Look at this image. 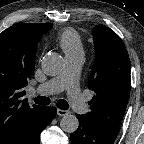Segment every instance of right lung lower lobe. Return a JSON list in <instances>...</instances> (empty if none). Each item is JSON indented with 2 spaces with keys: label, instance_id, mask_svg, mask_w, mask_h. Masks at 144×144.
<instances>
[{
  "label": "right lung lower lobe",
  "instance_id": "right-lung-lower-lobe-1",
  "mask_svg": "<svg viewBox=\"0 0 144 144\" xmlns=\"http://www.w3.org/2000/svg\"><path fill=\"white\" fill-rule=\"evenodd\" d=\"M55 107H41L30 119L21 135L11 144H39L41 131L56 116Z\"/></svg>",
  "mask_w": 144,
  "mask_h": 144
}]
</instances>
